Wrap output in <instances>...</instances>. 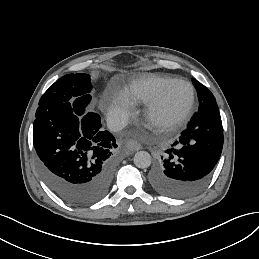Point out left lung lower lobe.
<instances>
[{
  "mask_svg": "<svg viewBox=\"0 0 259 259\" xmlns=\"http://www.w3.org/2000/svg\"><path fill=\"white\" fill-rule=\"evenodd\" d=\"M223 147V128L215 100L200 103L179 140L149 175L152 189L172 198L201 191L217 164Z\"/></svg>",
  "mask_w": 259,
  "mask_h": 259,
  "instance_id": "0a47b994",
  "label": "left lung lower lobe"
}]
</instances>
